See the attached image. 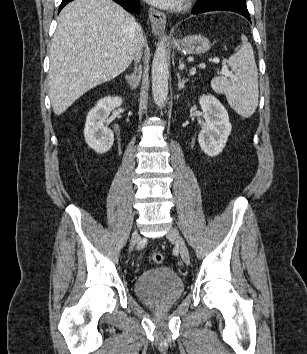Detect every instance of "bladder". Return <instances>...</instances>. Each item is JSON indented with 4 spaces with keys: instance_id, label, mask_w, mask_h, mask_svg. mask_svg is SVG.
I'll use <instances>...</instances> for the list:
<instances>
[{
    "instance_id": "31cf9c89",
    "label": "bladder",
    "mask_w": 307,
    "mask_h": 354,
    "mask_svg": "<svg viewBox=\"0 0 307 354\" xmlns=\"http://www.w3.org/2000/svg\"><path fill=\"white\" fill-rule=\"evenodd\" d=\"M185 285L181 277L170 267H152L137 276L134 282L136 296L152 307L175 304L183 295Z\"/></svg>"
}]
</instances>
